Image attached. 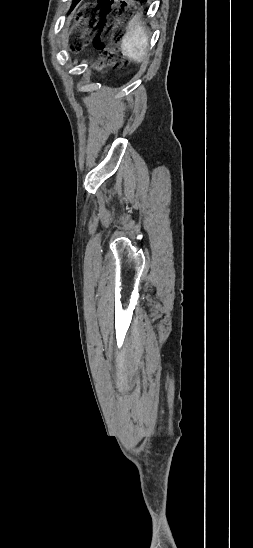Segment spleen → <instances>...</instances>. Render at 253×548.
Masks as SVG:
<instances>
[{"label": "spleen", "instance_id": "obj_1", "mask_svg": "<svg viewBox=\"0 0 253 548\" xmlns=\"http://www.w3.org/2000/svg\"><path fill=\"white\" fill-rule=\"evenodd\" d=\"M122 53L129 59L141 62L147 54L148 36L141 26L139 16L135 15L128 24V29L122 39Z\"/></svg>", "mask_w": 253, "mask_h": 548}]
</instances>
